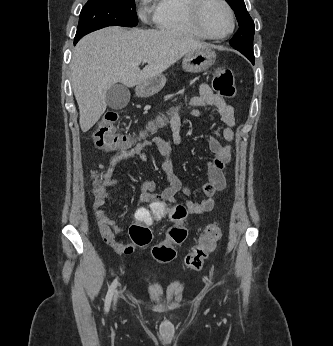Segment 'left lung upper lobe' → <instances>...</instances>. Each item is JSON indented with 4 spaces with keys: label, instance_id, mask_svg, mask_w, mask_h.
<instances>
[{
    "label": "left lung upper lobe",
    "instance_id": "5c2ea615",
    "mask_svg": "<svg viewBox=\"0 0 333 346\" xmlns=\"http://www.w3.org/2000/svg\"><path fill=\"white\" fill-rule=\"evenodd\" d=\"M234 10L240 28L230 42V45L245 55L252 63H254L253 54V37L254 22L247 12L243 0H226Z\"/></svg>",
    "mask_w": 333,
    "mask_h": 346
}]
</instances>
